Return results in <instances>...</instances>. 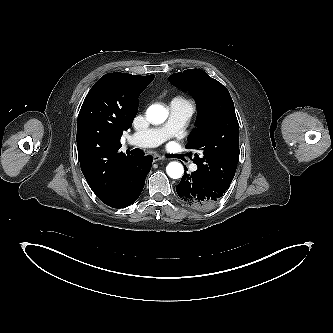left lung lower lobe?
I'll use <instances>...</instances> for the list:
<instances>
[{
    "label": "left lung lower lobe",
    "instance_id": "left-lung-lower-lobe-1",
    "mask_svg": "<svg viewBox=\"0 0 333 333\" xmlns=\"http://www.w3.org/2000/svg\"><path fill=\"white\" fill-rule=\"evenodd\" d=\"M226 190L198 170L192 172L191 175L185 173L176 186L180 199L196 210L210 209L219 201Z\"/></svg>",
    "mask_w": 333,
    "mask_h": 333
}]
</instances>
